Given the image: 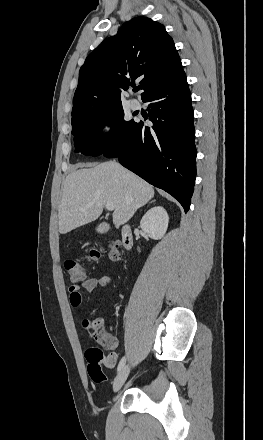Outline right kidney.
I'll list each match as a JSON object with an SVG mask.
<instances>
[{
  "mask_svg": "<svg viewBox=\"0 0 263 440\" xmlns=\"http://www.w3.org/2000/svg\"><path fill=\"white\" fill-rule=\"evenodd\" d=\"M169 217L166 210L161 206L149 209L140 222L141 229L150 238L158 240L164 237L168 228Z\"/></svg>",
  "mask_w": 263,
  "mask_h": 440,
  "instance_id": "obj_1",
  "label": "right kidney"
}]
</instances>
